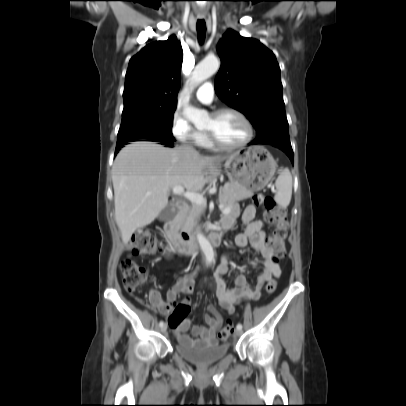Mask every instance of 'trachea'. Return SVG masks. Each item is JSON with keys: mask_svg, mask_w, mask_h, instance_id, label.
<instances>
[{"mask_svg": "<svg viewBox=\"0 0 406 406\" xmlns=\"http://www.w3.org/2000/svg\"><path fill=\"white\" fill-rule=\"evenodd\" d=\"M197 34L199 41L202 42L206 35V23L204 20L197 21Z\"/></svg>", "mask_w": 406, "mask_h": 406, "instance_id": "obj_1", "label": "trachea"}]
</instances>
